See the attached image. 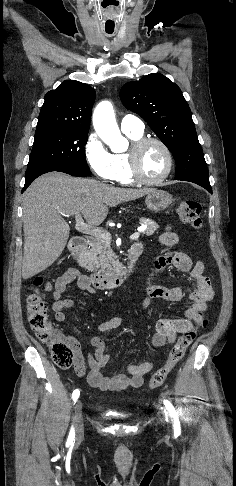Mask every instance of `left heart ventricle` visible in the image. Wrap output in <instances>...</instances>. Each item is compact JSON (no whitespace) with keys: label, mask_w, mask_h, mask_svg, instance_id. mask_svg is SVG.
<instances>
[{"label":"left heart ventricle","mask_w":236,"mask_h":486,"mask_svg":"<svg viewBox=\"0 0 236 486\" xmlns=\"http://www.w3.org/2000/svg\"><path fill=\"white\" fill-rule=\"evenodd\" d=\"M166 156L157 144L147 145L140 154V169L147 179H157L166 170Z\"/></svg>","instance_id":"1"}]
</instances>
